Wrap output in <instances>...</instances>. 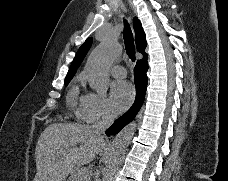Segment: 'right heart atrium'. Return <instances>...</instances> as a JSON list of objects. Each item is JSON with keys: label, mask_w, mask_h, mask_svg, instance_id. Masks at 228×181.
I'll list each match as a JSON object with an SVG mask.
<instances>
[{"label": "right heart atrium", "mask_w": 228, "mask_h": 181, "mask_svg": "<svg viewBox=\"0 0 228 181\" xmlns=\"http://www.w3.org/2000/svg\"><path fill=\"white\" fill-rule=\"evenodd\" d=\"M110 112V104L103 94L91 92L82 98L80 116L86 122H98L108 117Z\"/></svg>", "instance_id": "obj_1"}]
</instances>
